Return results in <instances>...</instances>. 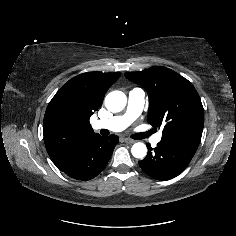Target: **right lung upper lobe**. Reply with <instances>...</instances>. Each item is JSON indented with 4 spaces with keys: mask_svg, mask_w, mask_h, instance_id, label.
I'll return each instance as SVG.
<instances>
[{
    "mask_svg": "<svg viewBox=\"0 0 236 236\" xmlns=\"http://www.w3.org/2000/svg\"><path fill=\"white\" fill-rule=\"evenodd\" d=\"M121 73H82L66 82L47 106L43 133L47 152L58 166L89 143L94 133L90 116Z\"/></svg>",
    "mask_w": 236,
    "mask_h": 236,
    "instance_id": "cb5924a9",
    "label": "right lung upper lobe"
}]
</instances>
